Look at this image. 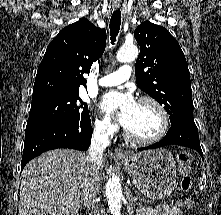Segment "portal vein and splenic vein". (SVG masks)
<instances>
[{"label": "portal vein and splenic vein", "mask_w": 221, "mask_h": 215, "mask_svg": "<svg viewBox=\"0 0 221 215\" xmlns=\"http://www.w3.org/2000/svg\"><path fill=\"white\" fill-rule=\"evenodd\" d=\"M134 200H137V197H134Z\"/></svg>", "instance_id": "18ae733b"}]
</instances>
